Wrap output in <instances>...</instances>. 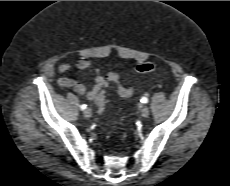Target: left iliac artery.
Returning <instances> with one entry per match:
<instances>
[{
    "label": "left iliac artery",
    "mask_w": 230,
    "mask_h": 186,
    "mask_svg": "<svg viewBox=\"0 0 230 186\" xmlns=\"http://www.w3.org/2000/svg\"><path fill=\"white\" fill-rule=\"evenodd\" d=\"M141 102H142V103H148V99H147L146 97H142V98H141Z\"/></svg>",
    "instance_id": "1"
}]
</instances>
